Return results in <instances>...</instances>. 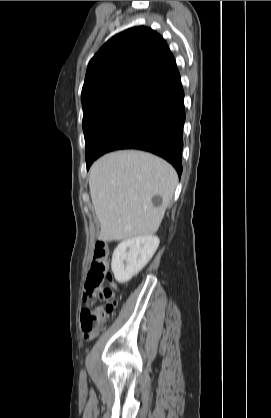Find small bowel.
Here are the masks:
<instances>
[{"label": "small bowel", "mask_w": 271, "mask_h": 418, "mask_svg": "<svg viewBox=\"0 0 271 418\" xmlns=\"http://www.w3.org/2000/svg\"><path fill=\"white\" fill-rule=\"evenodd\" d=\"M85 288H86V291L89 289V285H88V283L86 284V287H85Z\"/></svg>", "instance_id": "obj_1"}]
</instances>
